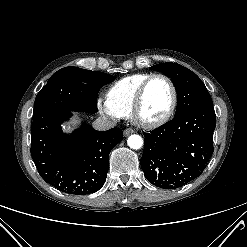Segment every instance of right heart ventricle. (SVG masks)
<instances>
[{
  "instance_id": "right-heart-ventricle-1",
  "label": "right heart ventricle",
  "mask_w": 247,
  "mask_h": 247,
  "mask_svg": "<svg viewBox=\"0 0 247 247\" xmlns=\"http://www.w3.org/2000/svg\"><path fill=\"white\" fill-rule=\"evenodd\" d=\"M150 75V73L131 74L110 86L106 101L120 117H127L131 114L136 93L142 82Z\"/></svg>"
}]
</instances>
